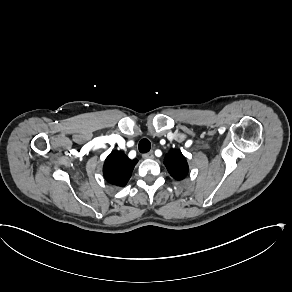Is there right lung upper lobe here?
Listing matches in <instances>:
<instances>
[{"instance_id": "obj_1", "label": "right lung upper lobe", "mask_w": 292, "mask_h": 292, "mask_svg": "<svg viewBox=\"0 0 292 292\" xmlns=\"http://www.w3.org/2000/svg\"><path fill=\"white\" fill-rule=\"evenodd\" d=\"M137 162V159L130 160L122 151H113L105 160L104 178L112 185L124 187Z\"/></svg>"}]
</instances>
